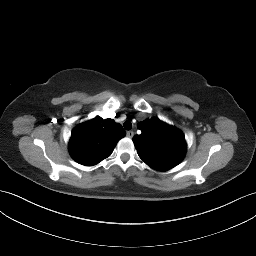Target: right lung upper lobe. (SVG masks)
<instances>
[{
  "mask_svg": "<svg viewBox=\"0 0 256 256\" xmlns=\"http://www.w3.org/2000/svg\"><path fill=\"white\" fill-rule=\"evenodd\" d=\"M125 135L119 123L97 116L75 127L69 142V152L78 163L92 166L110 156L117 142Z\"/></svg>",
  "mask_w": 256,
  "mask_h": 256,
  "instance_id": "obj_1",
  "label": "right lung upper lobe"
}]
</instances>
